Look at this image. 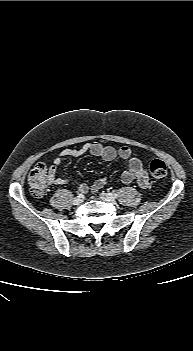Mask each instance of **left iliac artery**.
<instances>
[{"instance_id": "left-iliac-artery-1", "label": "left iliac artery", "mask_w": 193, "mask_h": 351, "mask_svg": "<svg viewBox=\"0 0 193 351\" xmlns=\"http://www.w3.org/2000/svg\"><path fill=\"white\" fill-rule=\"evenodd\" d=\"M110 195H111L113 198H117V196H118V194L115 193V192L110 193Z\"/></svg>"}]
</instances>
